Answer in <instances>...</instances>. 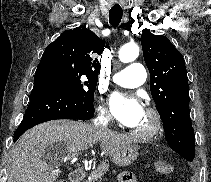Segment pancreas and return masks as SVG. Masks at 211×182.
Wrapping results in <instances>:
<instances>
[{
    "mask_svg": "<svg viewBox=\"0 0 211 182\" xmlns=\"http://www.w3.org/2000/svg\"><path fill=\"white\" fill-rule=\"evenodd\" d=\"M109 170V165L105 162L101 163L97 169L93 170L86 182H101L102 177Z\"/></svg>",
    "mask_w": 211,
    "mask_h": 182,
    "instance_id": "1",
    "label": "pancreas"
}]
</instances>
